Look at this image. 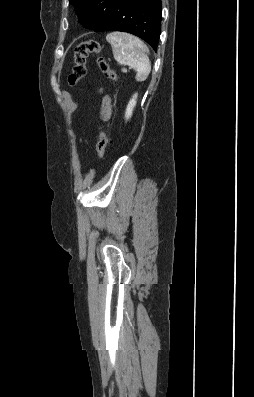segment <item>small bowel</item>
I'll list each match as a JSON object with an SVG mask.
<instances>
[{
	"label": "small bowel",
	"instance_id": "1",
	"mask_svg": "<svg viewBox=\"0 0 254 397\" xmlns=\"http://www.w3.org/2000/svg\"><path fill=\"white\" fill-rule=\"evenodd\" d=\"M112 114L111 98L105 95L102 99L100 115L104 121H108Z\"/></svg>",
	"mask_w": 254,
	"mask_h": 397
}]
</instances>
